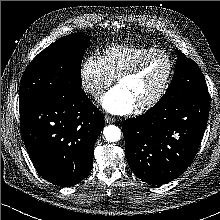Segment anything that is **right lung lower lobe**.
<instances>
[{"label":"right lung lower lobe","instance_id":"obj_1","mask_svg":"<svg viewBox=\"0 0 220 220\" xmlns=\"http://www.w3.org/2000/svg\"><path fill=\"white\" fill-rule=\"evenodd\" d=\"M21 134L31 161L47 181L75 185L89 173L104 117L86 94L20 101Z\"/></svg>","mask_w":220,"mask_h":220}]
</instances>
